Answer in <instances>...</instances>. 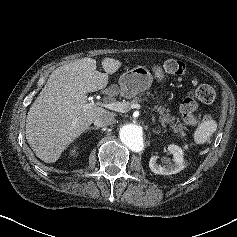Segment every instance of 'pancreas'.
Returning a JSON list of instances; mask_svg holds the SVG:
<instances>
[{
  "label": "pancreas",
  "instance_id": "cf45deb5",
  "mask_svg": "<svg viewBox=\"0 0 237 237\" xmlns=\"http://www.w3.org/2000/svg\"><path fill=\"white\" fill-rule=\"evenodd\" d=\"M149 95V93H148ZM143 99L141 98V96L135 97L133 100H131L130 102H127L129 104H134V103H138L140 101H142ZM157 112L159 114V122L163 125L166 126L170 123H172V128L174 129V132L176 133H180L181 136H184V129H186L183 124L180 122L179 118L176 119L175 121V117L171 116L169 114V109H166L165 106H158L156 107Z\"/></svg>",
  "mask_w": 237,
  "mask_h": 237
}]
</instances>
